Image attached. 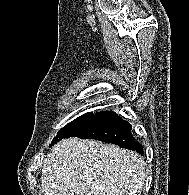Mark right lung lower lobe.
Listing matches in <instances>:
<instances>
[{
  "mask_svg": "<svg viewBox=\"0 0 189 195\" xmlns=\"http://www.w3.org/2000/svg\"><path fill=\"white\" fill-rule=\"evenodd\" d=\"M72 137L113 143L143 155L142 145L132 136L131 125L112 111L94 114L86 125Z\"/></svg>",
  "mask_w": 189,
  "mask_h": 195,
  "instance_id": "98d812e1",
  "label": "right lung lower lobe"
}]
</instances>
